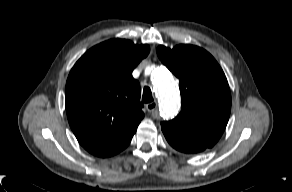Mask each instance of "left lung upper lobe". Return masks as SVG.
Masks as SVG:
<instances>
[{
  "label": "left lung upper lobe",
  "mask_w": 292,
  "mask_h": 192,
  "mask_svg": "<svg viewBox=\"0 0 292 192\" xmlns=\"http://www.w3.org/2000/svg\"><path fill=\"white\" fill-rule=\"evenodd\" d=\"M157 55L180 80L181 112L162 122L164 134L211 148L223 134L231 111V94L225 74L204 49L178 45L158 46Z\"/></svg>",
  "instance_id": "left-lung-upper-lobe-1"
}]
</instances>
